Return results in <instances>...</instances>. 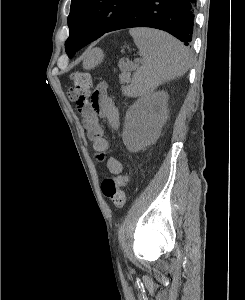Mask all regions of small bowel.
Returning a JSON list of instances; mask_svg holds the SVG:
<instances>
[{"mask_svg": "<svg viewBox=\"0 0 245 300\" xmlns=\"http://www.w3.org/2000/svg\"><path fill=\"white\" fill-rule=\"evenodd\" d=\"M76 111L92 142L93 150L99 159H103L109 149V141L105 137L102 123L109 124L114 130L120 126L119 110L108 92L107 84L99 83L92 93L76 100ZM105 163L107 170L113 175H119L123 170L121 162L115 156H107Z\"/></svg>", "mask_w": 245, "mask_h": 300, "instance_id": "obj_1", "label": "small bowel"}]
</instances>
